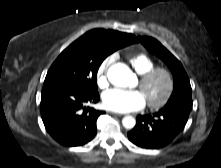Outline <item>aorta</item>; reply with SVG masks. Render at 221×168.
Masks as SVG:
<instances>
[{"mask_svg":"<svg viewBox=\"0 0 221 168\" xmlns=\"http://www.w3.org/2000/svg\"><path fill=\"white\" fill-rule=\"evenodd\" d=\"M107 76L113 85L127 87L131 83L133 73L126 64L116 63L109 68ZM122 124L126 129H132L136 120L133 116H125L122 119Z\"/></svg>","mask_w":221,"mask_h":168,"instance_id":"762f6f07","label":"aorta"}]
</instances>
